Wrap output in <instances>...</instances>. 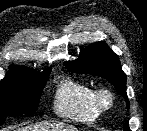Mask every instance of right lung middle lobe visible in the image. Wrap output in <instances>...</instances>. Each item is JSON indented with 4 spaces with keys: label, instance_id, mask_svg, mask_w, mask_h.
<instances>
[{
    "label": "right lung middle lobe",
    "instance_id": "dd1d6c3e",
    "mask_svg": "<svg viewBox=\"0 0 147 131\" xmlns=\"http://www.w3.org/2000/svg\"><path fill=\"white\" fill-rule=\"evenodd\" d=\"M50 71L38 75H15L0 82V124L12 114H28L37 110L41 92Z\"/></svg>",
    "mask_w": 147,
    "mask_h": 131
}]
</instances>
